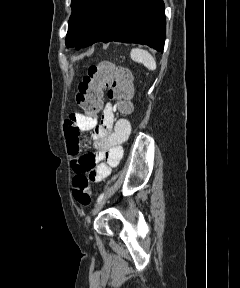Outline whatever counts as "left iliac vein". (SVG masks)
Listing matches in <instances>:
<instances>
[{
	"mask_svg": "<svg viewBox=\"0 0 240 288\" xmlns=\"http://www.w3.org/2000/svg\"><path fill=\"white\" fill-rule=\"evenodd\" d=\"M106 203V199H102V201L98 202L94 209L92 210V216H95L104 206Z\"/></svg>",
	"mask_w": 240,
	"mask_h": 288,
	"instance_id": "1",
	"label": "left iliac vein"
}]
</instances>
